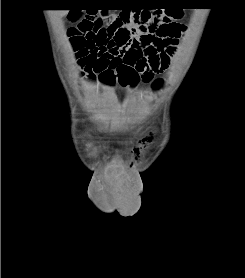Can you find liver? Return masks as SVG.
<instances>
[{
	"label": "liver",
	"mask_w": 245,
	"mask_h": 278,
	"mask_svg": "<svg viewBox=\"0 0 245 278\" xmlns=\"http://www.w3.org/2000/svg\"><path fill=\"white\" fill-rule=\"evenodd\" d=\"M62 13H60L61 15H66L68 10H61Z\"/></svg>",
	"instance_id": "6515ba94"
}]
</instances>
